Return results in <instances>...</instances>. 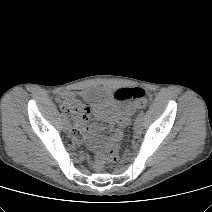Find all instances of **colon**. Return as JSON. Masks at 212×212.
<instances>
[{"label": "colon", "instance_id": "1", "mask_svg": "<svg viewBox=\"0 0 212 212\" xmlns=\"http://www.w3.org/2000/svg\"><path fill=\"white\" fill-rule=\"evenodd\" d=\"M115 99L119 101H134L138 105H145L147 102V93L141 87L121 88L116 91ZM60 108L62 112L74 119L84 117L88 113V107L70 95L60 98ZM129 124L130 119L128 116H123L119 121V125L122 128L128 127ZM122 139L123 132L121 129H117L110 137L105 152L98 154L96 157V165L98 168H101L105 162L116 163L118 161V151Z\"/></svg>", "mask_w": 212, "mask_h": 212}]
</instances>
